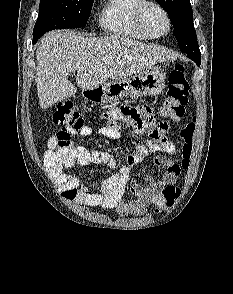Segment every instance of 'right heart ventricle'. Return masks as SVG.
<instances>
[{
	"mask_svg": "<svg viewBox=\"0 0 233 294\" xmlns=\"http://www.w3.org/2000/svg\"><path fill=\"white\" fill-rule=\"evenodd\" d=\"M142 0H106L99 14V24L108 34L134 39L150 40L137 25L135 12Z\"/></svg>",
	"mask_w": 233,
	"mask_h": 294,
	"instance_id": "right-heart-ventricle-1",
	"label": "right heart ventricle"
}]
</instances>
